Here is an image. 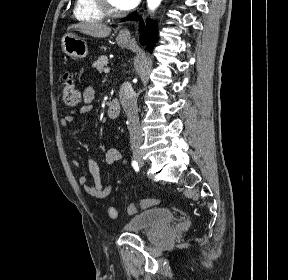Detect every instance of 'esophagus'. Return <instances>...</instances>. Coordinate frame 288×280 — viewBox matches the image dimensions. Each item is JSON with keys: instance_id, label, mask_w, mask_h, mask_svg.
Here are the masks:
<instances>
[{"instance_id": "34e87169", "label": "esophagus", "mask_w": 288, "mask_h": 280, "mask_svg": "<svg viewBox=\"0 0 288 280\" xmlns=\"http://www.w3.org/2000/svg\"><path fill=\"white\" fill-rule=\"evenodd\" d=\"M119 36L123 38H130L131 37L130 30L127 27L121 28L119 31Z\"/></svg>"}]
</instances>
